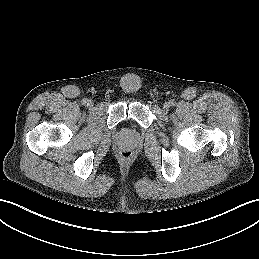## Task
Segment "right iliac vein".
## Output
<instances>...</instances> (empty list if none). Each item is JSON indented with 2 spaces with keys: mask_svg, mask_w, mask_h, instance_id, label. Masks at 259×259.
<instances>
[{
  "mask_svg": "<svg viewBox=\"0 0 259 259\" xmlns=\"http://www.w3.org/2000/svg\"><path fill=\"white\" fill-rule=\"evenodd\" d=\"M87 106H88V107H92V106H93V101L88 100V102H87Z\"/></svg>",
  "mask_w": 259,
  "mask_h": 259,
  "instance_id": "obj_1",
  "label": "right iliac vein"
}]
</instances>
